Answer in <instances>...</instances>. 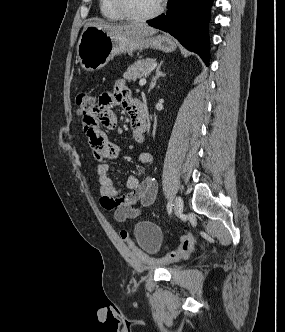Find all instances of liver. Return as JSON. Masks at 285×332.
Wrapping results in <instances>:
<instances>
[{
	"instance_id": "obj_1",
	"label": "liver",
	"mask_w": 285,
	"mask_h": 332,
	"mask_svg": "<svg viewBox=\"0 0 285 332\" xmlns=\"http://www.w3.org/2000/svg\"><path fill=\"white\" fill-rule=\"evenodd\" d=\"M87 26H95L101 29H105L109 31L111 34L129 36L135 38L151 36L157 32V29L153 27L137 23L115 25V24L106 23L104 21H94L87 23L85 27Z\"/></svg>"
}]
</instances>
